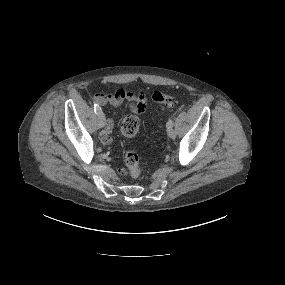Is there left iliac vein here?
<instances>
[{"label":"left iliac vein","instance_id":"1","mask_svg":"<svg viewBox=\"0 0 285 285\" xmlns=\"http://www.w3.org/2000/svg\"><path fill=\"white\" fill-rule=\"evenodd\" d=\"M167 134L172 139L176 138V131L172 127L167 128Z\"/></svg>","mask_w":285,"mask_h":285}]
</instances>
